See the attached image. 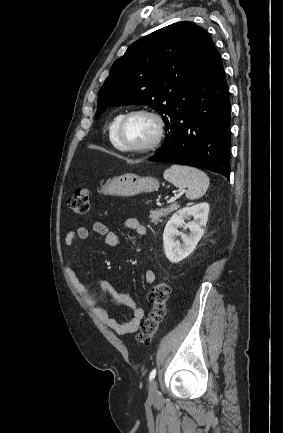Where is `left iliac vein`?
Here are the masks:
<instances>
[{
	"mask_svg": "<svg viewBox=\"0 0 283 433\" xmlns=\"http://www.w3.org/2000/svg\"><path fill=\"white\" fill-rule=\"evenodd\" d=\"M149 400L155 404V405H159L160 404V394L158 391V386L155 380L151 381L150 385H149Z\"/></svg>",
	"mask_w": 283,
	"mask_h": 433,
	"instance_id": "left-iliac-vein-1",
	"label": "left iliac vein"
}]
</instances>
